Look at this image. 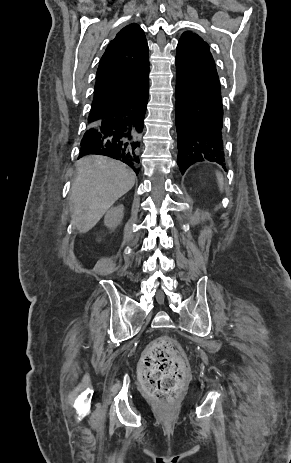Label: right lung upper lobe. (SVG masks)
Returning <instances> with one entry per match:
<instances>
[{
  "mask_svg": "<svg viewBox=\"0 0 291 463\" xmlns=\"http://www.w3.org/2000/svg\"><path fill=\"white\" fill-rule=\"evenodd\" d=\"M144 31L127 25L107 46L96 74L88 123L99 121L149 82V53Z\"/></svg>",
  "mask_w": 291,
  "mask_h": 463,
  "instance_id": "cb5924a9",
  "label": "right lung upper lobe"
}]
</instances>
